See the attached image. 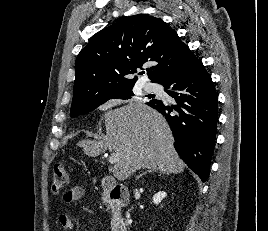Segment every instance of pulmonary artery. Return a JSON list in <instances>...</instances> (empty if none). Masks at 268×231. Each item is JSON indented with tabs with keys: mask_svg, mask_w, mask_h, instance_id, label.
I'll return each mask as SVG.
<instances>
[{
	"mask_svg": "<svg viewBox=\"0 0 268 231\" xmlns=\"http://www.w3.org/2000/svg\"><path fill=\"white\" fill-rule=\"evenodd\" d=\"M145 88H146L147 90H149V91H152V90H153V88H152L149 84H147V85L145 86Z\"/></svg>",
	"mask_w": 268,
	"mask_h": 231,
	"instance_id": "1",
	"label": "pulmonary artery"
}]
</instances>
